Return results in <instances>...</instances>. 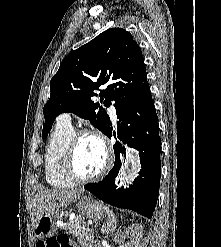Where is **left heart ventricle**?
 Returning a JSON list of instances; mask_svg holds the SVG:
<instances>
[{
	"instance_id": "left-heart-ventricle-1",
	"label": "left heart ventricle",
	"mask_w": 221,
	"mask_h": 247,
	"mask_svg": "<svg viewBox=\"0 0 221 247\" xmlns=\"http://www.w3.org/2000/svg\"><path fill=\"white\" fill-rule=\"evenodd\" d=\"M105 163V153L101 143L92 136L81 138L76 155L75 167L83 177L97 174Z\"/></svg>"
}]
</instances>
